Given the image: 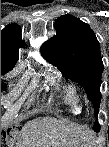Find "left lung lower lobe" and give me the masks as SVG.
Returning <instances> with one entry per match:
<instances>
[{
  "label": "left lung lower lobe",
  "mask_w": 109,
  "mask_h": 147,
  "mask_svg": "<svg viewBox=\"0 0 109 147\" xmlns=\"http://www.w3.org/2000/svg\"><path fill=\"white\" fill-rule=\"evenodd\" d=\"M94 131L98 132L99 130H97V129H94Z\"/></svg>",
  "instance_id": "0a47b994"
}]
</instances>
